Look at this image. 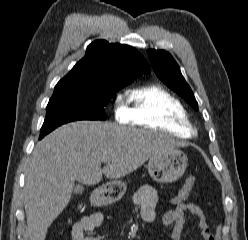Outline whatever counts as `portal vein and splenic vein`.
I'll list each match as a JSON object with an SVG mask.
<instances>
[{"instance_id": "1", "label": "portal vein and splenic vein", "mask_w": 248, "mask_h": 240, "mask_svg": "<svg viewBox=\"0 0 248 240\" xmlns=\"http://www.w3.org/2000/svg\"><path fill=\"white\" fill-rule=\"evenodd\" d=\"M106 162H109L110 160H105Z\"/></svg>"}]
</instances>
